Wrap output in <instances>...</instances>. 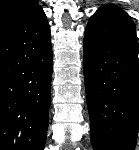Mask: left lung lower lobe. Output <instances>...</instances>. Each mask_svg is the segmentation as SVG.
Masks as SVG:
<instances>
[{"label":"left lung lower lobe","mask_w":139,"mask_h":150,"mask_svg":"<svg viewBox=\"0 0 139 150\" xmlns=\"http://www.w3.org/2000/svg\"><path fill=\"white\" fill-rule=\"evenodd\" d=\"M139 46L121 8L100 7L84 35V79L94 150H134L139 127Z\"/></svg>","instance_id":"obj_1"}]
</instances>
